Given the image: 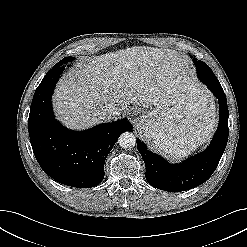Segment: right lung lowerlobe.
<instances>
[{"instance_id": "right-lung-lower-lobe-1", "label": "right lung lower lobe", "mask_w": 247, "mask_h": 247, "mask_svg": "<svg viewBox=\"0 0 247 247\" xmlns=\"http://www.w3.org/2000/svg\"><path fill=\"white\" fill-rule=\"evenodd\" d=\"M64 66L48 71L30 107L28 130L34 155L43 171L57 182L80 188L98 185L104 163L119 135L132 130L122 119L84 132L66 129L54 118L51 96Z\"/></svg>"}]
</instances>
